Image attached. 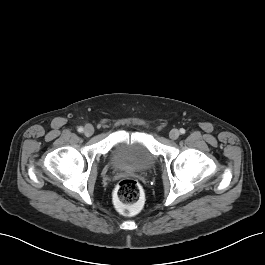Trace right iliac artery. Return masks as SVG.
<instances>
[{
	"mask_svg": "<svg viewBox=\"0 0 265 265\" xmlns=\"http://www.w3.org/2000/svg\"><path fill=\"white\" fill-rule=\"evenodd\" d=\"M78 132H83V128L82 127H79L78 128Z\"/></svg>",
	"mask_w": 265,
	"mask_h": 265,
	"instance_id": "82829eb1",
	"label": "right iliac artery"
}]
</instances>
